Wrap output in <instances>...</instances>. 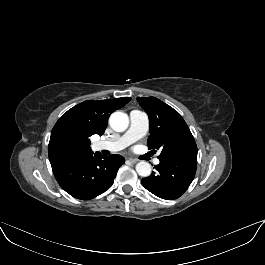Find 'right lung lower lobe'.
Here are the masks:
<instances>
[{
    "label": "right lung lower lobe",
    "mask_w": 265,
    "mask_h": 265,
    "mask_svg": "<svg viewBox=\"0 0 265 265\" xmlns=\"http://www.w3.org/2000/svg\"><path fill=\"white\" fill-rule=\"evenodd\" d=\"M125 162L121 155L102 156L98 152L53 170L59 185L71 196L89 200L109 189Z\"/></svg>",
    "instance_id": "98d812e1"
}]
</instances>
